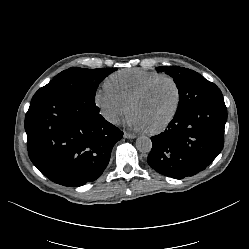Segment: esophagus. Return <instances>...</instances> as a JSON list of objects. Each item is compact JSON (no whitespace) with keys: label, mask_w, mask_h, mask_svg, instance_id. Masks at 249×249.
<instances>
[{"label":"esophagus","mask_w":249,"mask_h":249,"mask_svg":"<svg viewBox=\"0 0 249 249\" xmlns=\"http://www.w3.org/2000/svg\"><path fill=\"white\" fill-rule=\"evenodd\" d=\"M124 138L133 139V138H136V135H134V134H129V133H124Z\"/></svg>","instance_id":"1"}]
</instances>
